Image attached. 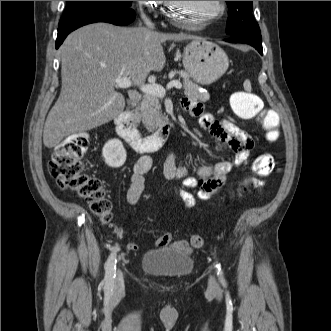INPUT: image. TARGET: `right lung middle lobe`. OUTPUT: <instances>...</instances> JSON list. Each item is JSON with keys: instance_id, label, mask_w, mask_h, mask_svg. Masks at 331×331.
Here are the masks:
<instances>
[{"instance_id": "dd1d6c3e", "label": "right lung middle lobe", "mask_w": 331, "mask_h": 331, "mask_svg": "<svg viewBox=\"0 0 331 331\" xmlns=\"http://www.w3.org/2000/svg\"><path fill=\"white\" fill-rule=\"evenodd\" d=\"M132 1H67L59 27L79 18L116 9L130 8Z\"/></svg>"}]
</instances>
